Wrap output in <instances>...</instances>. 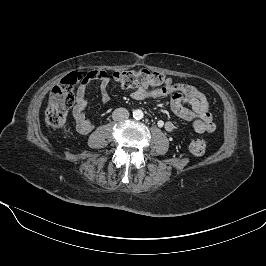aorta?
<instances>
[{"label": "aorta", "mask_w": 266, "mask_h": 266, "mask_svg": "<svg viewBox=\"0 0 266 266\" xmlns=\"http://www.w3.org/2000/svg\"><path fill=\"white\" fill-rule=\"evenodd\" d=\"M143 116H144V114H143V112H142V110H134V112H133V117L135 118V119H142L143 118Z\"/></svg>", "instance_id": "obj_1"}]
</instances>
